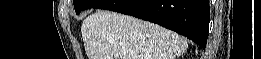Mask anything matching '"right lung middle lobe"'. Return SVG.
<instances>
[{
    "label": "right lung middle lobe",
    "mask_w": 261,
    "mask_h": 59,
    "mask_svg": "<svg viewBox=\"0 0 261 59\" xmlns=\"http://www.w3.org/2000/svg\"><path fill=\"white\" fill-rule=\"evenodd\" d=\"M103 1L104 0H74L73 3L76 14H79L82 10L93 8Z\"/></svg>",
    "instance_id": "dd1d6c3e"
}]
</instances>
